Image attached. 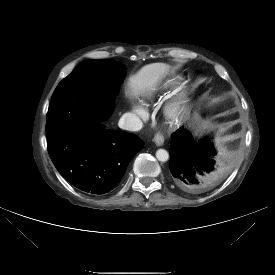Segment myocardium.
Segmentation results:
<instances>
[{
    "mask_svg": "<svg viewBox=\"0 0 275 275\" xmlns=\"http://www.w3.org/2000/svg\"><path fill=\"white\" fill-rule=\"evenodd\" d=\"M184 104V96L181 89L172 92L163 105V113L167 118H177Z\"/></svg>",
    "mask_w": 275,
    "mask_h": 275,
    "instance_id": "1",
    "label": "myocardium"
}]
</instances>
